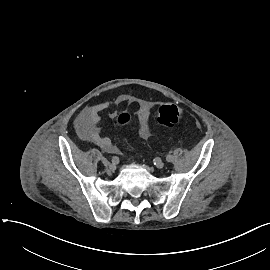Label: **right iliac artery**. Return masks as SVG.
<instances>
[{
    "label": "right iliac artery",
    "instance_id": "obj_1",
    "mask_svg": "<svg viewBox=\"0 0 270 270\" xmlns=\"http://www.w3.org/2000/svg\"><path fill=\"white\" fill-rule=\"evenodd\" d=\"M112 163L113 164H118L119 163V158L117 156L112 157Z\"/></svg>",
    "mask_w": 270,
    "mask_h": 270
}]
</instances>
